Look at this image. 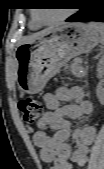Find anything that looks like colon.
Instances as JSON below:
<instances>
[{
	"instance_id": "5ec220e1",
	"label": "colon",
	"mask_w": 104,
	"mask_h": 169,
	"mask_svg": "<svg viewBox=\"0 0 104 169\" xmlns=\"http://www.w3.org/2000/svg\"><path fill=\"white\" fill-rule=\"evenodd\" d=\"M22 118L26 124H34L43 114V106L41 101L26 97L22 98L18 103Z\"/></svg>"
}]
</instances>
